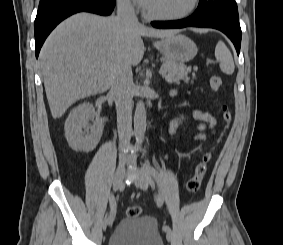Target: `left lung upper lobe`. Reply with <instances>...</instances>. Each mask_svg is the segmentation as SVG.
<instances>
[{
	"label": "left lung upper lobe",
	"mask_w": 283,
	"mask_h": 245,
	"mask_svg": "<svg viewBox=\"0 0 283 245\" xmlns=\"http://www.w3.org/2000/svg\"><path fill=\"white\" fill-rule=\"evenodd\" d=\"M193 15L220 18L239 23L235 0H200L199 6Z\"/></svg>",
	"instance_id": "5c2ea615"
}]
</instances>
